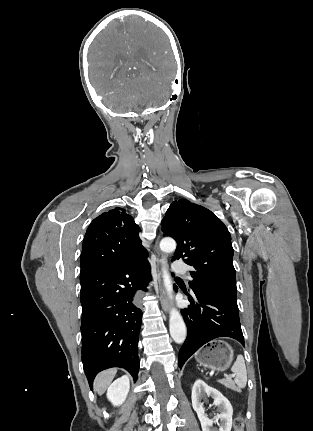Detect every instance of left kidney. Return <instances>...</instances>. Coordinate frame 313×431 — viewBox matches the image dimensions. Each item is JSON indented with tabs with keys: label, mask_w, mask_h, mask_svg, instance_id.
Masks as SVG:
<instances>
[{
	"label": "left kidney",
	"mask_w": 313,
	"mask_h": 431,
	"mask_svg": "<svg viewBox=\"0 0 313 431\" xmlns=\"http://www.w3.org/2000/svg\"><path fill=\"white\" fill-rule=\"evenodd\" d=\"M204 395L211 396L214 399V405L218 407L220 414L215 420L208 419L205 409L201 403ZM192 406L200 420L202 431H213L211 427L214 423L219 425V431H231L233 408L218 390L208 386L202 380H196L192 388ZM220 420V424H219Z\"/></svg>",
	"instance_id": "1"
}]
</instances>
